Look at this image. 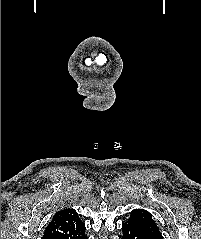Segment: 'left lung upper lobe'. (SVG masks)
<instances>
[{
  "instance_id": "1",
  "label": "left lung upper lobe",
  "mask_w": 201,
  "mask_h": 239,
  "mask_svg": "<svg viewBox=\"0 0 201 239\" xmlns=\"http://www.w3.org/2000/svg\"><path fill=\"white\" fill-rule=\"evenodd\" d=\"M128 221L141 225L154 239H163L152 215L146 210L136 209L132 211Z\"/></svg>"
}]
</instances>
